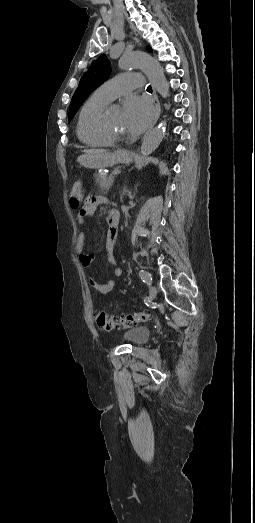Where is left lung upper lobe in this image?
I'll return each instance as SVG.
<instances>
[{"label": "left lung upper lobe", "mask_w": 255, "mask_h": 523, "mask_svg": "<svg viewBox=\"0 0 255 523\" xmlns=\"http://www.w3.org/2000/svg\"><path fill=\"white\" fill-rule=\"evenodd\" d=\"M149 51H152L148 47ZM110 62L106 55H101L83 75L79 82V86L76 89L69 108L68 122L71 121L79 107L83 104L89 94L103 84L110 75Z\"/></svg>", "instance_id": "obj_1"}]
</instances>
